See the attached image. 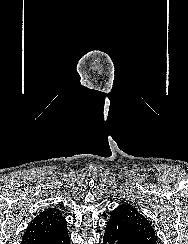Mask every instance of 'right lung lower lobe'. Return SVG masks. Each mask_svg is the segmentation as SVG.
<instances>
[{
    "instance_id": "98d812e1",
    "label": "right lung lower lobe",
    "mask_w": 188,
    "mask_h": 244,
    "mask_svg": "<svg viewBox=\"0 0 188 244\" xmlns=\"http://www.w3.org/2000/svg\"><path fill=\"white\" fill-rule=\"evenodd\" d=\"M28 244H70L67 227L61 228L40 239L30 241Z\"/></svg>"
}]
</instances>
